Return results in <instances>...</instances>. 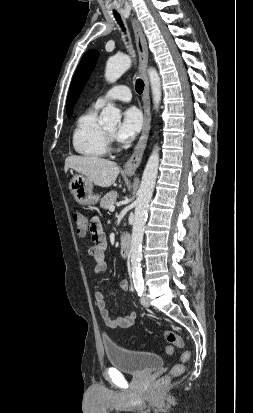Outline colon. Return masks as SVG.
<instances>
[{
    "mask_svg": "<svg viewBox=\"0 0 253 413\" xmlns=\"http://www.w3.org/2000/svg\"><path fill=\"white\" fill-rule=\"evenodd\" d=\"M72 220L74 224L76 225L77 232L81 236H85L87 232L90 231L89 229V223L86 219V217L78 212L74 211L72 213ZM164 337L166 341L170 344L169 346L166 347V352L167 353H172L173 347L177 348H183L184 347V340L181 336H179L176 332L173 330H166L164 332ZM190 358V353L188 351H185L181 355V361L182 363L174 365L169 374L162 379H160L159 384L164 385L167 384L172 378L178 377L179 375L182 374L184 371V365L183 363L187 362Z\"/></svg>",
    "mask_w": 253,
    "mask_h": 413,
    "instance_id": "obj_1",
    "label": "colon"
}]
</instances>
